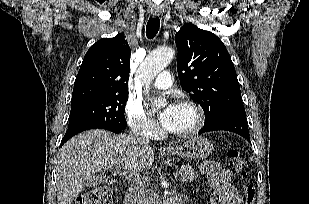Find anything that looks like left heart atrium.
Here are the masks:
<instances>
[{"instance_id": "left-heart-atrium-1", "label": "left heart atrium", "mask_w": 309, "mask_h": 204, "mask_svg": "<svg viewBox=\"0 0 309 204\" xmlns=\"http://www.w3.org/2000/svg\"><path fill=\"white\" fill-rule=\"evenodd\" d=\"M176 106L175 104H169L160 114V122L166 129L170 126Z\"/></svg>"}]
</instances>
